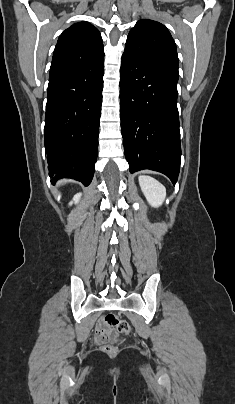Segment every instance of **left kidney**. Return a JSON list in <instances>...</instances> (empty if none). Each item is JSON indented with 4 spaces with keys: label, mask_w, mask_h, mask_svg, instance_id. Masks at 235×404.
I'll return each instance as SVG.
<instances>
[{
    "label": "left kidney",
    "mask_w": 235,
    "mask_h": 404,
    "mask_svg": "<svg viewBox=\"0 0 235 404\" xmlns=\"http://www.w3.org/2000/svg\"><path fill=\"white\" fill-rule=\"evenodd\" d=\"M139 184L144 196L152 207H159L163 203L166 197V189L161 183L149 176L142 175L139 176Z\"/></svg>",
    "instance_id": "left-kidney-1"
}]
</instances>
